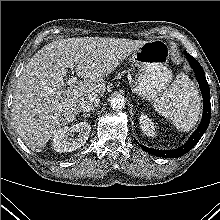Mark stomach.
<instances>
[{
    "mask_svg": "<svg viewBox=\"0 0 220 220\" xmlns=\"http://www.w3.org/2000/svg\"><path fill=\"white\" fill-rule=\"evenodd\" d=\"M169 55V47L162 40L147 41L134 51L130 60L138 73L131 84L132 92L148 101L160 98L172 81Z\"/></svg>",
    "mask_w": 220,
    "mask_h": 220,
    "instance_id": "1",
    "label": "stomach"
}]
</instances>
